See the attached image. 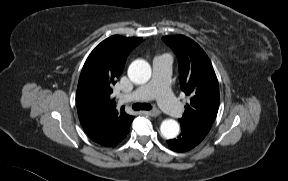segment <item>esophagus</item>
<instances>
[{
    "instance_id": "34e87169",
    "label": "esophagus",
    "mask_w": 288,
    "mask_h": 181,
    "mask_svg": "<svg viewBox=\"0 0 288 181\" xmlns=\"http://www.w3.org/2000/svg\"><path fill=\"white\" fill-rule=\"evenodd\" d=\"M147 113L152 116V117H157L160 115V111L157 109L151 110V111H147Z\"/></svg>"
}]
</instances>
